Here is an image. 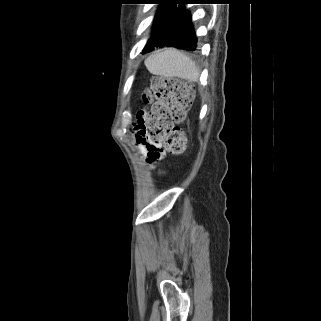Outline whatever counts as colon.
Masks as SVG:
<instances>
[{"instance_id":"colon-1","label":"colon","mask_w":321,"mask_h":321,"mask_svg":"<svg viewBox=\"0 0 321 321\" xmlns=\"http://www.w3.org/2000/svg\"><path fill=\"white\" fill-rule=\"evenodd\" d=\"M193 97V85L189 81L162 76L152 78L143 95L145 102L154 104L147 118L154 143L152 158L158 159L165 152L185 153L187 139L179 124L185 120Z\"/></svg>"}]
</instances>
